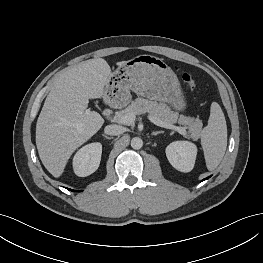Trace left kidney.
Segmentation results:
<instances>
[{
  "instance_id": "left-kidney-1",
  "label": "left kidney",
  "mask_w": 263,
  "mask_h": 263,
  "mask_svg": "<svg viewBox=\"0 0 263 263\" xmlns=\"http://www.w3.org/2000/svg\"><path fill=\"white\" fill-rule=\"evenodd\" d=\"M197 146L189 141H175L166 148L170 164L181 172H190L195 164Z\"/></svg>"
}]
</instances>
